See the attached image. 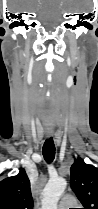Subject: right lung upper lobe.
I'll list each match as a JSON object with an SVG mask.
<instances>
[{"label": "right lung upper lobe", "mask_w": 98, "mask_h": 209, "mask_svg": "<svg viewBox=\"0 0 98 209\" xmlns=\"http://www.w3.org/2000/svg\"><path fill=\"white\" fill-rule=\"evenodd\" d=\"M0 209H33L30 181L24 169L0 182Z\"/></svg>", "instance_id": "right-lung-upper-lobe-1"}]
</instances>
